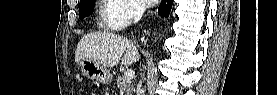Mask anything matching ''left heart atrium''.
I'll return each mask as SVG.
<instances>
[{"label": "left heart atrium", "mask_w": 277, "mask_h": 95, "mask_svg": "<svg viewBox=\"0 0 277 95\" xmlns=\"http://www.w3.org/2000/svg\"><path fill=\"white\" fill-rule=\"evenodd\" d=\"M145 6H152L155 3V0H140Z\"/></svg>", "instance_id": "obj_1"}]
</instances>
